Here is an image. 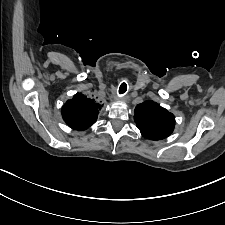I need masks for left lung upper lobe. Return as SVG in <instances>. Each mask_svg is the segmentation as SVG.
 Wrapping results in <instances>:
<instances>
[{
	"instance_id": "5c2ea615",
	"label": "left lung upper lobe",
	"mask_w": 225,
	"mask_h": 225,
	"mask_svg": "<svg viewBox=\"0 0 225 225\" xmlns=\"http://www.w3.org/2000/svg\"><path fill=\"white\" fill-rule=\"evenodd\" d=\"M134 120L141 134L150 140H161L174 130L175 117L153 101H145L135 108Z\"/></svg>"
}]
</instances>
